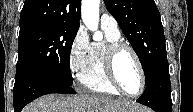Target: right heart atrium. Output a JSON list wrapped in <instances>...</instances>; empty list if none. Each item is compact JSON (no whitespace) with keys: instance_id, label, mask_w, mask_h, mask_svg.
Wrapping results in <instances>:
<instances>
[{"instance_id":"right-heart-atrium-1","label":"right heart atrium","mask_w":193,"mask_h":112,"mask_svg":"<svg viewBox=\"0 0 193 112\" xmlns=\"http://www.w3.org/2000/svg\"><path fill=\"white\" fill-rule=\"evenodd\" d=\"M91 43L84 27H79L74 34L68 51V67L72 75L79 76L84 69Z\"/></svg>"}]
</instances>
